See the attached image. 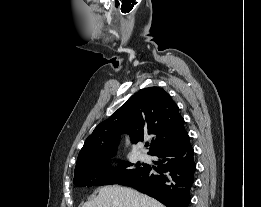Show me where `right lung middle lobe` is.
Wrapping results in <instances>:
<instances>
[{"label": "right lung middle lobe", "instance_id": "right-lung-middle-lobe-1", "mask_svg": "<svg viewBox=\"0 0 261 207\" xmlns=\"http://www.w3.org/2000/svg\"><path fill=\"white\" fill-rule=\"evenodd\" d=\"M110 157L93 160L75 168L74 184L76 186L111 185L118 184L123 179L132 176L142 169L144 164L137 163L135 168L130 162H122L117 169L108 166Z\"/></svg>", "mask_w": 261, "mask_h": 207}]
</instances>
